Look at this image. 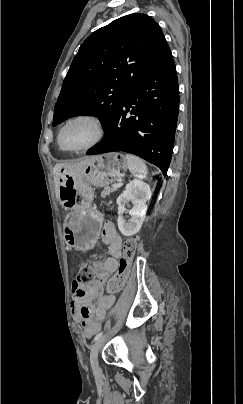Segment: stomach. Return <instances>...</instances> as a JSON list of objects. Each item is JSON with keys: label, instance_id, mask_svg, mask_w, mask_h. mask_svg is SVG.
Segmentation results:
<instances>
[{"label": "stomach", "instance_id": "stomach-1", "mask_svg": "<svg viewBox=\"0 0 243 404\" xmlns=\"http://www.w3.org/2000/svg\"><path fill=\"white\" fill-rule=\"evenodd\" d=\"M127 169V160L123 155L106 153L83 158L59 170L60 203L70 210L64 222L68 246L84 251L94 245L102 216L91 205L92 186L106 187L121 179Z\"/></svg>", "mask_w": 243, "mask_h": 404}]
</instances>
